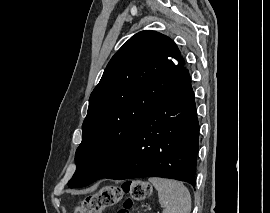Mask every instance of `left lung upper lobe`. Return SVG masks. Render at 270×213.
Instances as JSON below:
<instances>
[{
	"label": "left lung upper lobe",
	"instance_id": "1",
	"mask_svg": "<svg viewBox=\"0 0 270 213\" xmlns=\"http://www.w3.org/2000/svg\"><path fill=\"white\" fill-rule=\"evenodd\" d=\"M185 70L176 44L155 31L135 34L115 53L90 95L70 188L110 173L139 123Z\"/></svg>",
	"mask_w": 270,
	"mask_h": 213
}]
</instances>
